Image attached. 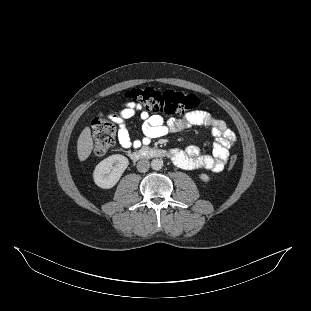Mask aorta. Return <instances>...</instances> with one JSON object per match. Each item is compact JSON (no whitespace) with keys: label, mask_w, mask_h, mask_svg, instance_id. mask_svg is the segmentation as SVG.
Returning a JSON list of instances; mask_svg holds the SVG:
<instances>
[{"label":"aorta","mask_w":311,"mask_h":311,"mask_svg":"<svg viewBox=\"0 0 311 311\" xmlns=\"http://www.w3.org/2000/svg\"><path fill=\"white\" fill-rule=\"evenodd\" d=\"M151 167L153 170H160L163 167V162L160 159H153L151 161Z\"/></svg>","instance_id":"aorta-1"}]
</instances>
